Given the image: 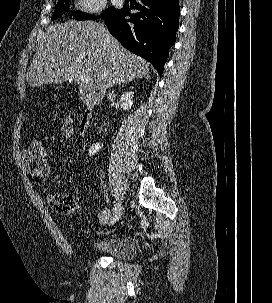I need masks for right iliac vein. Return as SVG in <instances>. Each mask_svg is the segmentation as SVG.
Wrapping results in <instances>:
<instances>
[{"instance_id": "obj_1", "label": "right iliac vein", "mask_w": 272, "mask_h": 303, "mask_svg": "<svg viewBox=\"0 0 272 303\" xmlns=\"http://www.w3.org/2000/svg\"><path fill=\"white\" fill-rule=\"evenodd\" d=\"M117 214L114 215L110 221V225H114L116 222L119 221V219L121 218L122 216V213H123V207H122V204L121 202H118L117 203Z\"/></svg>"}]
</instances>
